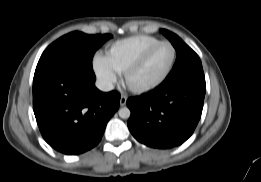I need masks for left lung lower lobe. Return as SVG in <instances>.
<instances>
[{"label": "left lung lower lobe", "mask_w": 261, "mask_h": 182, "mask_svg": "<svg viewBox=\"0 0 261 182\" xmlns=\"http://www.w3.org/2000/svg\"><path fill=\"white\" fill-rule=\"evenodd\" d=\"M205 91V76L201 74L129 98L126 104L131 110L130 132L149 147L167 149L181 145L197 126Z\"/></svg>", "instance_id": "1"}]
</instances>
